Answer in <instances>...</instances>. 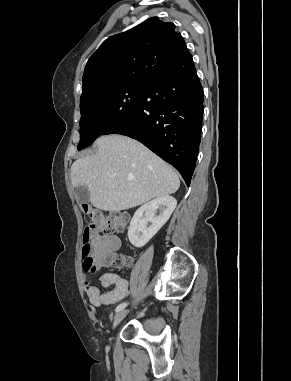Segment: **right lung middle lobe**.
<instances>
[{
  "label": "right lung middle lobe",
  "mask_w": 291,
  "mask_h": 381,
  "mask_svg": "<svg viewBox=\"0 0 291 381\" xmlns=\"http://www.w3.org/2000/svg\"><path fill=\"white\" fill-rule=\"evenodd\" d=\"M145 86L146 82L122 84L104 89L81 102L78 150L131 117Z\"/></svg>",
  "instance_id": "right-lung-middle-lobe-1"
}]
</instances>
